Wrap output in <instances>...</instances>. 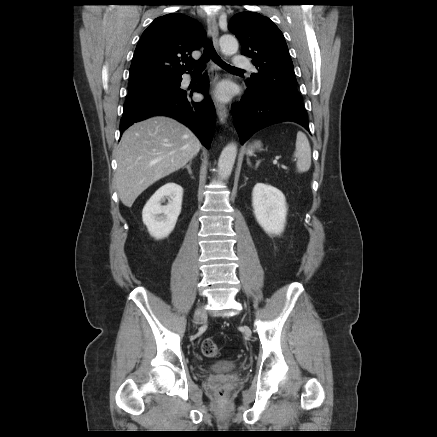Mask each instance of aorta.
<instances>
[{
  "label": "aorta",
  "mask_w": 437,
  "mask_h": 437,
  "mask_svg": "<svg viewBox=\"0 0 437 437\" xmlns=\"http://www.w3.org/2000/svg\"><path fill=\"white\" fill-rule=\"evenodd\" d=\"M221 52L226 57L234 55L238 50L237 39L229 34L223 35L219 40ZM237 156V145L228 144L221 152L218 160V173L222 180H227L232 172Z\"/></svg>",
  "instance_id": "aorta-1"
}]
</instances>
